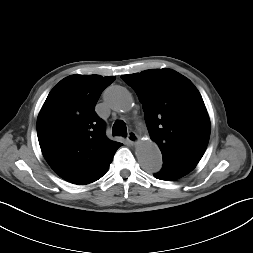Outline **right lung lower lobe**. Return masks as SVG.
I'll return each instance as SVG.
<instances>
[{
  "label": "right lung lower lobe",
  "mask_w": 253,
  "mask_h": 253,
  "mask_svg": "<svg viewBox=\"0 0 253 253\" xmlns=\"http://www.w3.org/2000/svg\"><path fill=\"white\" fill-rule=\"evenodd\" d=\"M122 144L120 143L118 146H117V148H116V150L121 146ZM116 152V151H115ZM115 154V153H114ZM114 156V155H113ZM113 156H112V159H113ZM112 159H111V161H112ZM111 161H110V163H111ZM110 163H109V165H110Z\"/></svg>",
  "instance_id": "right-lung-lower-lobe-1"
}]
</instances>
